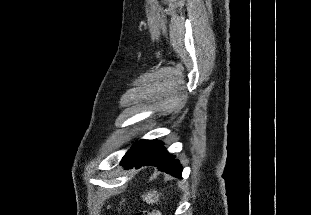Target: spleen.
Returning <instances> with one entry per match:
<instances>
[{
	"mask_svg": "<svg viewBox=\"0 0 311 215\" xmlns=\"http://www.w3.org/2000/svg\"><path fill=\"white\" fill-rule=\"evenodd\" d=\"M143 200L146 201L148 204H152L158 201L159 194L157 191L149 192L146 195H143Z\"/></svg>",
	"mask_w": 311,
	"mask_h": 215,
	"instance_id": "obj_1",
	"label": "spleen"
}]
</instances>
